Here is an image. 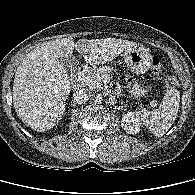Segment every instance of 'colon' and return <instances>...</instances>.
Instances as JSON below:
<instances>
[{
  "mask_svg": "<svg viewBox=\"0 0 195 195\" xmlns=\"http://www.w3.org/2000/svg\"><path fill=\"white\" fill-rule=\"evenodd\" d=\"M166 65L164 61L158 57L155 56L152 61V71L156 74H161L165 71ZM165 83L168 88H176L178 87V80L176 77L168 75L165 77Z\"/></svg>",
  "mask_w": 195,
  "mask_h": 195,
  "instance_id": "obj_1",
  "label": "colon"
}]
</instances>
